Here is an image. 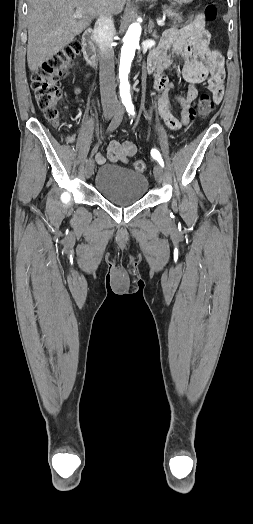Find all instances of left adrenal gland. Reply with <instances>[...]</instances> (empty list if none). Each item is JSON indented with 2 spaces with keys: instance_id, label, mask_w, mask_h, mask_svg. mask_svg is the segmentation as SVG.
Instances as JSON below:
<instances>
[{
  "instance_id": "left-adrenal-gland-1",
  "label": "left adrenal gland",
  "mask_w": 253,
  "mask_h": 524,
  "mask_svg": "<svg viewBox=\"0 0 253 524\" xmlns=\"http://www.w3.org/2000/svg\"><path fill=\"white\" fill-rule=\"evenodd\" d=\"M154 27V24L152 21L149 22V26H148V29H149V33H152V28ZM153 37H157L156 36V31H154V33L152 34Z\"/></svg>"
}]
</instances>
